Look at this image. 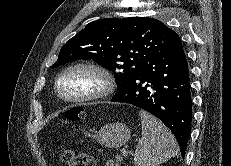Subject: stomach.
Here are the masks:
<instances>
[{"label":"stomach","mask_w":231,"mask_h":166,"mask_svg":"<svg viewBox=\"0 0 231 166\" xmlns=\"http://www.w3.org/2000/svg\"><path fill=\"white\" fill-rule=\"evenodd\" d=\"M131 136L130 129L123 123L114 122L101 127L92 137L101 145L118 148L124 145Z\"/></svg>","instance_id":"stomach-1"}]
</instances>
